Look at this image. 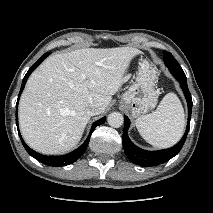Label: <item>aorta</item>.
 <instances>
[{"label": "aorta", "mask_w": 213, "mask_h": 213, "mask_svg": "<svg viewBox=\"0 0 213 213\" xmlns=\"http://www.w3.org/2000/svg\"><path fill=\"white\" fill-rule=\"evenodd\" d=\"M107 122L111 127L119 128L124 123V117L119 112H113L108 115Z\"/></svg>", "instance_id": "obj_1"}]
</instances>
